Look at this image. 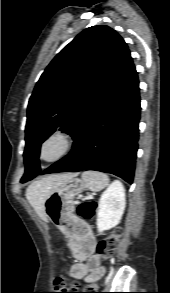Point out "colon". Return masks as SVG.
I'll use <instances>...</instances> for the list:
<instances>
[{
    "label": "colon",
    "mask_w": 170,
    "mask_h": 293,
    "mask_svg": "<svg viewBox=\"0 0 170 293\" xmlns=\"http://www.w3.org/2000/svg\"><path fill=\"white\" fill-rule=\"evenodd\" d=\"M97 203L94 201H83L77 206L78 215L85 219H91L96 211ZM59 228L69 236H75L82 238L85 233L86 226L81 221H66L59 225ZM122 236V230L120 228L114 229L110 235L102 241L97 247V254L102 257V259H107L114 254L117 250L120 238ZM55 290L57 293H91L90 289L85 290V292H78V284L75 282L67 283L62 278H56L55 280Z\"/></svg>",
    "instance_id": "5ec220e1"
}]
</instances>
